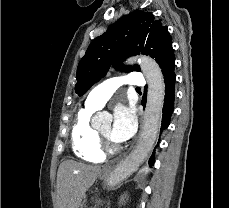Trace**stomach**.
Returning a JSON list of instances; mask_svg holds the SVG:
<instances>
[{
	"instance_id": "1",
	"label": "stomach",
	"mask_w": 229,
	"mask_h": 208,
	"mask_svg": "<svg viewBox=\"0 0 229 208\" xmlns=\"http://www.w3.org/2000/svg\"><path fill=\"white\" fill-rule=\"evenodd\" d=\"M109 172H110V170H109ZM109 172H101V174H99L100 180H107V178L109 176Z\"/></svg>"
}]
</instances>
